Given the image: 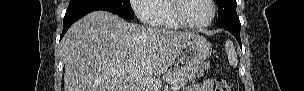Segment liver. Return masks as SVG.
<instances>
[{
  "instance_id": "6515ba94",
  "label": "liver",
  "mask_w": 304,
  "mask_h": 91,
  "mask_svg": "<svg viewBox=\"0 0 304 91\" xmlns=\"http://www.w3.org/2000/svg\"><path fill=\"white\" fill-rule=\"evenodd\" d=\"M198 37L131 24L107 11L91 12L62 39L64 91H133L136 75L165 73L180 48ZM122 68L128 72L121 74Z\"/></svg>"
}]
</instances>
